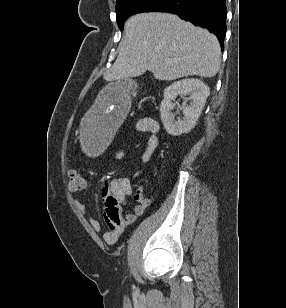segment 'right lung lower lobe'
Returning a JSON list of instances; mask_svg holds the SVG:
<instances>
[{
	"label": "right lung lower lobe",
	"mask_w": 286,
	"mask_h": 308,
	"mask_svg": "<svg viewBox=\"0 0 286 308\" xmlns=\"http://www.w3.org/2000/svg\"><path fill=\"white\" fill-rule=\"evenodd\" d=\"M153 11L173 13L209 29L217 36L223 50L227 18L225 0H168Z\"/></svg>",
	"instance_id": "obj_1"
}]
</instances>
